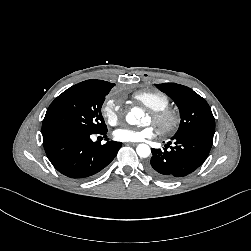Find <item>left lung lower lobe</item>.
I'll use <instances>...</instances> for the list:
<instances>
[{
	"instance_id": "obj_1",
	"label": "left lung lower lobe",
	"mask_w": 251,
	"mask_h": 251,
	"mask_svg": "<svg viewBox=\"0 0 251 251\" xmlns=\"http://www.w3.org/2000/svg\"><path fill=\"white\" fill-rule=\"evenodd\" d=\"M172 139L175 146L169 150V145L163 150L152 149V158L147 164L149 173L163 181H175L192 173L206 160L213 144V136L202 133Z\"/></svg>"
}]
</instances>
